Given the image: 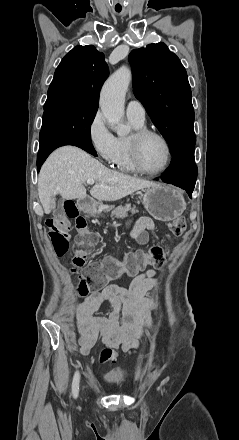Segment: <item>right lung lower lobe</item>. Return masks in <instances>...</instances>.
Segmentation results:
<instances>
[{
	"label": "right lung lower lobe",
	"instance_id": "98d812e1",
	"mask_svg": "<svg viewBox=\"0 0 239 440\" xmlns=\"http://www.w3.org/2000/svg\"><path fill=\"white\" fill-rule=\"evenodd\" d=\"M63 145H75L83 150L87 151L88 153L97 156V153L91 143V139H88L85 136L81 135H63L59 137H55L52 139L47 140L45 143L40 145L39 152H38V158H37V169L38 172L41 168V165L46 160L48 155L56 148L63 146Z\"/></svg>",
	"mask_w": 239,
	"mask_h": 440
}]
</instances>
